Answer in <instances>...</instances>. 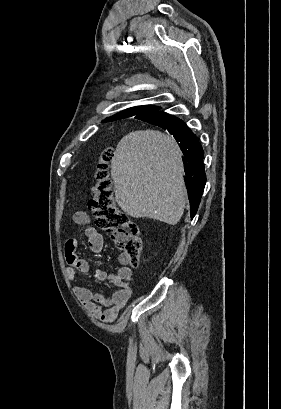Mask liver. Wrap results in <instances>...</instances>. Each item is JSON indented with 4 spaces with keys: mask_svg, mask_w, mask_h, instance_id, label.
<instances>
[{
    "mask_svg": "<svg viewBox=\"0 0 281 409\" xmlns=\"http://www.w3.org/2000/svg\"><path fill=\"white\" fill-rule=\"evenodd\" d=\"M181 150L160 130H134L121 138L111 162L115 196L130 217L179 223L186 205Z\"/></svg>",
    "mask_w": 281,
    "mask_h": 409,
    "instance_id": "liver-1",
    "label": "liver"
}]
</instances>
